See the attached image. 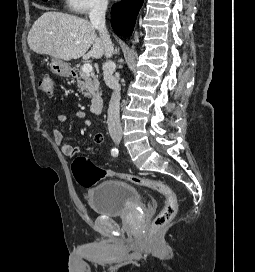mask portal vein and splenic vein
<instances>
[{
    "label": "portal vein and splenic vein",
    "mask_w": 255,
    "mask_h": 272,
    "mask_svg": "<svg viewBox=\"0 0 255 272\" xmlns=\"http://www.w3.org/2000/svg\"><path fill=\"white\" fill-rule=\"evenodd\" d=\"M81 69L84 73H91L93 71V67L89 63H85Z\"/></svg>",
    "instance_id": "18ae733b"
}]
</instances>
